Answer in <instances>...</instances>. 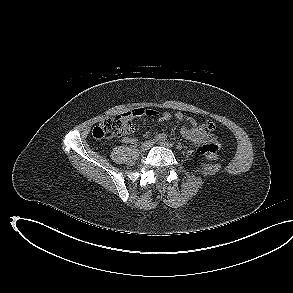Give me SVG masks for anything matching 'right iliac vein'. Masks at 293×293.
Wrapping results in <instances>:
<instances>
[{"label": "right iliac vein", "mask_w": 293, "mask_h": 293, "mask_svg": "<svg viewBox=\"0 0 293 293\" xmlns=\"http://www.w3.org/2000/svg\"><path fill=\"white\" fill-rule=\"evenodd\" d=\"M152 145H153V141L148 140V141H145L141 145L140 149H141V151H146V150L150 149Z\"/></svg>", "instance_id": "obj_1"}]
</instances>
